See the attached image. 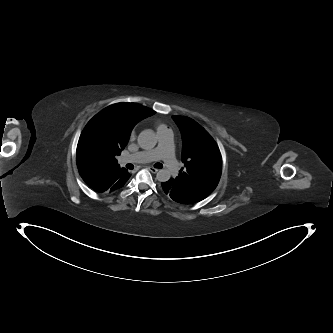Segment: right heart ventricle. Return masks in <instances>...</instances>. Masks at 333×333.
Listing matches in <instances>:
<instances>
[{
	"instance_id": "obj_1",
	"label": "right heart ventricle",
	"mask_w": 333,
	"mask_h": 333,
	"mask_svg": "<svg viewBox=\"0 0 333 333\" xmlns=\"http://www.w3.org/2000/svg\"><path fill=\"white\" fill-rule=\"evenodd\" d=\"M165 128H166V126L164 124H161V123H157L156 124V130H157V132H159L160 130H163Z\"/></svg>"
}]
</instances>
